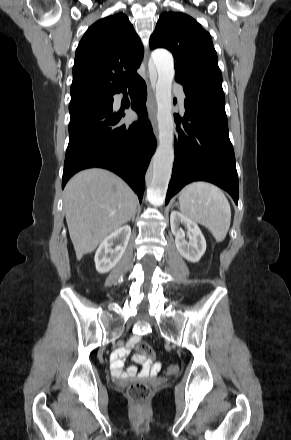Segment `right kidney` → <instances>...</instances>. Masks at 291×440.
Wrapping results in <instances>:
<instances>
[{
	"mask_svg": "<svg viewBox=\"0 0 291 440\" xmlns=\"http://www.w3.org/2000/svg\"><path fill=\"white\" fill-rule=\"evenodd\" d=\"M130 235L131 228L125 225L111 233L102 241L94 258L96 270L99 273L109 272L119 262L126 250ZM116 242L119 244L115 248H112Z\"/></svg>",
	"mask_w": 291,
	"mask_h": 440,
	"instance_id": "1",
	"label": "right kidney"
}]
</instances>
